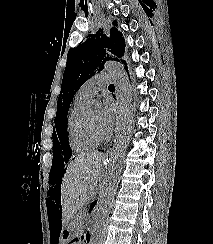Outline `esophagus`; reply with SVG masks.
<instances>
[{
  "mask_svg": "<svg viewBox=\"0 0 213 244\" xmlns=\"http://www.w3.org/2000/svg\"><path fill=\"white\" fill-rule=\"evenodd\" d=\"M112 149V145H110V147L108 148V150L106 151V157L108 156L109 152L111 151Z\"/></svg>",
  "mask_w": 213,
  "mask_h": 244,
  "instance_id": "34e87169",
  "label": "esophagus"
}]
</instances>
